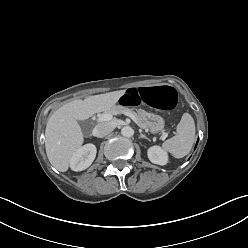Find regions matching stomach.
Returning a JSON list of instances; mask_svg holds the SVG:
<instances>
[{
  "instance_id": "0dacf381",
  "label": "stomach",
  "mask_w": 248,
  "mask_h": 248,
  "mask_svg": "<svg viewBox=\"0 0 248 248\" xmlns=\"http://www.w3.org/2000/svg\"><path fill=\"white\" fill-rule=\"evenodd\" d=\"M139 114L152 133L156 134L163 131L165 122L161 116L145 111H141Z\"/></svg>"
}]
</instances>
